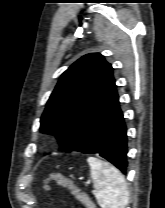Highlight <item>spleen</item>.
Here are the masks:
<instances>
[{"label": "spleen", "instance_id": "3e777b00", "mask_svg": "<svg viewBox=\"0 0 165 208\" xmlns=\"http://www.w3.org/2000/svg\"><path fill=\"white\" fill-rule=\"evenodd\" d=\"M90 176L96 189V199L101 208H125L129 192L124 176L109 163L89 157Z\"/></svg>", "mask_w": 165, "mask_h": 208}]
</instances>
